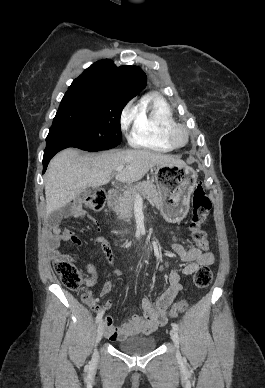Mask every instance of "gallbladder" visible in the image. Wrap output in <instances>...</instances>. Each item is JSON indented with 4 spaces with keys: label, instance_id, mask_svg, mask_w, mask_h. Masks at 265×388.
Here are the masks:
<instances>
[{
    "label": "gallbladder",
    "instance_id": "gallbladder-1",
    "mask_svg": "<svg viewBox=\"0 0 265 388\" xmlns=\"http://www.w3.org/2000/svg\"><path fill=\"white\" fill-rule=\"evenodd\" d=\"M89 194H90V190L89 188H86V192H83V194H80V198H87Z\"/></svg>",
    "mask_w": 265,
    "mask_h": 388
}]
</instances>
